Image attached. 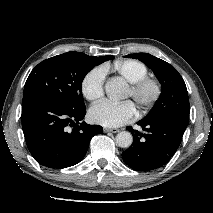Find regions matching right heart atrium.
I'll return each mask as SVG.
<instances>
[{"mask_svg": "<svg viewBox=\"0 0 213 213\" xmlns=\"http://www.w3.org/2000/svg\"><path fill=\"white\" fill-rule=\"evenodd\" d=\"M106 70L102 66L90 69L84 76L81 83L83 96L91 102H95L104 95Z\"/></svg>", "mask_w": 213, "mask_h": 213, "instance_id": "1", "label": "right heart atrium"}]
</instances>
